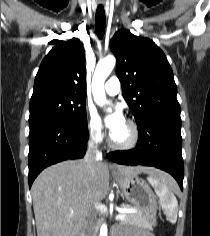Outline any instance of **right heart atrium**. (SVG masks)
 Returning <instances> with one entry per match:
<instances>
[{
	"mask_svg": "<svg viewBox=\"0 0 210 236\" xmlns=\"http://www.w3.org/2000/svg\"><path fill=\"white\" fill-rule=\"evenodd\" d=\"M86 129L90 138L95 141H100L104 136L103 124L91 107L86 110Z\"/></svg>",
	"mask_w": 210,
	"mask_h": 236,
	"instance_id": "right-heart-atrium-1",
	"label": "right heart atrium"
}]
</instances>
